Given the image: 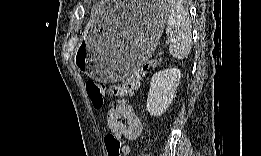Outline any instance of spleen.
Here are the masks:
<instances>
[{
  "instance_id": "1",
  "label": "spleen",
  "mask_w": 261,
  "mask_h": 156,
  "mask_svg": "<svg viewBox=\"0 0 261 156\" xmlns=\"http://www.w3.org/2000/svg\"><path fill=\"white\" fill-rule=\"evenodd\" d=\"M166 34L171 44L169 52L173 58L183 59L192 48L191 20L181 1H170L168 5Z\"/></svg>"
}]
</instances>
